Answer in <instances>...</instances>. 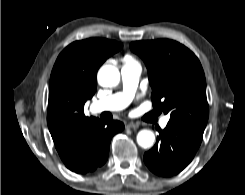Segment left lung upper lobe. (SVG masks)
Masks as SVG:
<instances>
[{
  "label": "left lung upper lobe",
  "mask_w": 245,
  "mask_h": 195,
  "mask_svg": "<svg viewBox=\"0 0 245 195\" xmlns=\"http://www.w3.org/2000/svg\"><path fill=\"white\" fill-rule=\"evenodd\" d=\"M130 49L145 62L153 106L170 121L205 129L209 108L202 66L184 45L168 39L135 41Z\"/></svg>",
  "instance_id": "left-lung-upper-lobe-1"
}]
</instances>
